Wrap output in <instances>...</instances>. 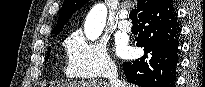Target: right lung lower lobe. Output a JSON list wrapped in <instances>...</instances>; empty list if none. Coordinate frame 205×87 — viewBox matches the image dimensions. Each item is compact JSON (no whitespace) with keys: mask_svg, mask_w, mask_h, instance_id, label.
Segmentation results:
<instances>
[{"mask_svg":"<svg viewBox=\"0 0 205 87\" xmlns=\"http://www.w3.org/2000/svg\"><path fill=\"white\" fill-rule=\"evenodd\" d=\"M171 0L158 4L139 16L136 45L144 48V56L124 62L127 81L141 87H174L179 63L180 27Z\"/></svg>","mask_w":205,"mask_h":87,"instance_id":"98d812e1","label":"right lung lower lobe"}]
</instances>
